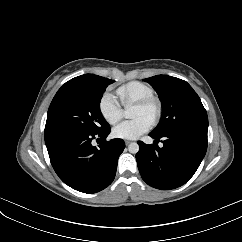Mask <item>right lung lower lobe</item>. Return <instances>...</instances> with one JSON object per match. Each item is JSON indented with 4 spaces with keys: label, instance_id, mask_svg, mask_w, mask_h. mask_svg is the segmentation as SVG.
Wrapping results in <instances>:
<instances>
[{
    "label": "right lung lower lobe",
    "instance_id": "obj_1",
    "mask_svg": "<svg viewBox=\"0 0 242 242\" xmlns=\"http://www.w3.org/2000/svg\"><path fill=\"white\" fill-rule=\"evenodd\" d=\"M109 133L110 129L94 134L80 128L45 133L51 164L65 184L83 193H96L112 183L125 143L122 139L107 142ZM97 137L103 140L98 148L92 145Z\"/></svg>",
    "mask_w": 242,
    "mask_h": 242
}]
</instances>
